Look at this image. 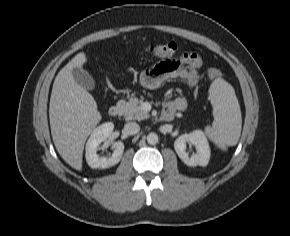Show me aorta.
<instances>
[{"label": "aorta", "mask_w": 290, "mask_h": 236, "mask_svg": "<svg viewBox=\"0 0 290 236\" xmlns=\"http://www.w3.org/2000/svg\"><path fill=\"white\" fill-rule=\"evenodd\" d=\"M147 142L150 144V145H155L157 144L158 142V135L156 133H149L148 136H147Z\"/></svg>", "instance_id": "1"}]
</instances>
